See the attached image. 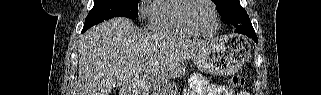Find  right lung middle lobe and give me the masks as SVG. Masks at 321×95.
Here are the masks:
<instances>
[{
    "mask_svg": "<svg viewBox=\"0 0 321 95\" xmlns=\"http://www.w3.org/2000/svg\"><path fill=\"white\" fill-rule=\"evenodd\" d=\"M138 15L137 0H94V7L85 19L83 32L93 25L113 17L135 19Z\"/></svg>",
    "mask_w": 321,
    "mask_h": 95,
    "instance_id": "obj_1",
    "label": "right lung middle lobe"
}]
</instances>
